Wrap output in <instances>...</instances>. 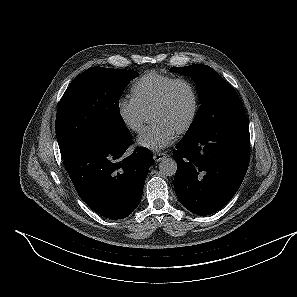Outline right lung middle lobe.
Returning a JSON list of instances; mask_svg holds the SVG:
<instances>
[{"label": "right lung middle lobe", "instance_id": "dd1d6c3e", "mask_svg": "<svg viewBox=\"0 0 297 297\" xmlns=\"http://www.w3.org/2000/svg\"><path fill=\"white\" fill-rule=\"evenodd\" d=\"M137 75L132 70L91 67L70 84L56 116V137L63 160L92 141L131 134L118 102Z\"/></svg>", "mask_w": 297, "mask_h": 297}]
</instances>
